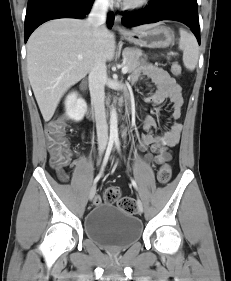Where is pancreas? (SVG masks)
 Wrapping results in <instances>:
<instances>
[{"label":"pancreas","instance_id":"pancreas-1","mask_svg":"<svg viewBox=\"0 0 231 281\" xmlns=\"http://www.w3.org/2000/svg\"><path fill=\"white\" fill-rule=\"evenodd\" d=\"M122 55L124 65L128 67L129 73L133 72L140 65L143 61L141 59L142 56L146 57V55L143 54V51L137 48H125Z\"/></svg>","mask_w":231,"mask_h":281}]
</instances>
